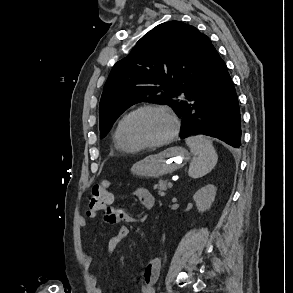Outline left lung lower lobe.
Listing matches in <instances>:
<instances>
[{"mask_svg": "<svg viewBox=\"0 0 293 293\" xmlns=\"http://www.w3.org/2000/svg\"><path fill=\"white\" fill-rule=\"evenodd\" d=\"M181 138L203 134L233 147L241 145V115L237 94L226 64L212 45L205 71L182 100Z\"/></svg>", "mask_w": 293, "mask_h": 293, "instance_id": "left-lung-lower-lobe-1", "label": "left lung lower lobe"}]
</instances>
